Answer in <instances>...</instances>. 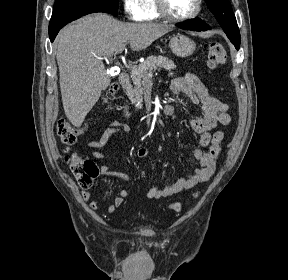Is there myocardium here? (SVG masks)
Wrapping results in <instances>:
<instances>
[{
  "label": "myocardium",
  "instance_id": "myocardium-1",
  "mask_svg": "<svg viewBox=\"0 0 288 280\" xmlns=\"http://www.w3.org/2000/svg\"><path fill=\"white\" fill-rule=\"evenodd\" d=\"M155 2L159 15L172 22H185L196 18L200 14L203 5V0H196V7L193 12L186 16H174L169 12L166 0H155Z\"/></svg>",
  "mask_w": 288,
  "mask_h": 280
}]
</instances>
